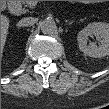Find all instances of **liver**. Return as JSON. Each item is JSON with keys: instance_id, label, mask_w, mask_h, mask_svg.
Masks as SVG:
<instances>
[{"instance_id": "obj_1", "label": "liver", "mask_w": 109, "mask_h": 109, "mask_svg": "<svg viewBox=\"0 0 109 109\" xmlns=\"http://www.w3.org/2000/svg\"><path fill=\"white\" fill-rule=\"evenodd\" d=\"M9 28V20L7 17L2 16L1 18V45L4 47L7 33Z\"/></svg>"}]
</instances>
